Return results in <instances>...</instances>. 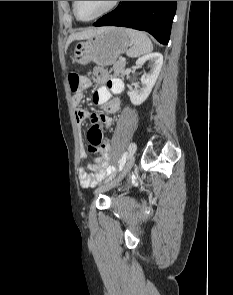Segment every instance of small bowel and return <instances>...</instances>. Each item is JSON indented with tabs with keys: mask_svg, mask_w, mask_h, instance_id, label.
Returning <instances> with one entry per match:
<instances>
[{
	"mask_svg": "<svg viewBox=\"0 0 233 295\" xmlns=\"http://www.w3.org/2000/svg\"><path fill=\"white\" fill-rule=\"evenodd\" d=\"M93 76L98 84H103L95 92L93 101L103 109L104 113L90 115L86 109L79 106L83 99V93H77L72 98L75 106V118L78 123H82L87 118H90L93 126L109 128L112 120L108 114H114L120 108L119 98H111V95L120 94L124 89V84L118 78H109L107 72L100 68L94 71ZM108 150L109 145L103 143L101 147L102 155L88 165L90 172H87L84 168L79 169L78 177L82 187H94L114 171V168L107 163ZM84 157L85 153L81 150V158Z\"/></svg>",
	"mask_w": 233,
	"mask_h": 295,
	"instance_id": "1",
	"label": "small bowel"
}]
</instances>
